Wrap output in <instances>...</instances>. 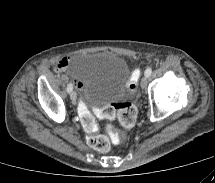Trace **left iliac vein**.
Listing matches in <instances>:
<instances>
[{
	"mask_svg": "<svg viewBox=\"0 0 215 183\" xmlns=\"http://www.w3.org/2000/svg\"><path fill=\"white\" fill-rule=\"evenodd\" d=\"M147 82H148V76H144L141 80V87L144 89L147 86Z\"/></svg>",
	"mask_w": 215,
	"mask_h": 183,
	"instance_id": "1",
	"label": "left iliac vein"
}]
</instances>
